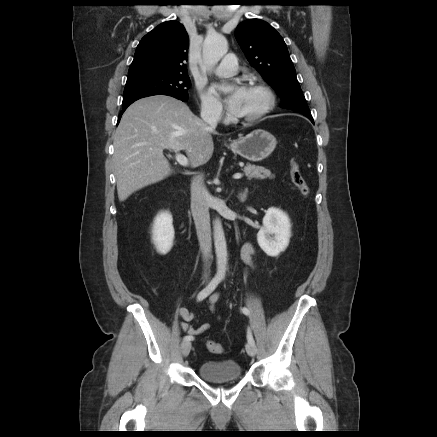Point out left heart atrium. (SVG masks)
I'll use <instances>...</instances> for the list:
<instances>
[{
  "mask_svg": "<svg viewBox=\"0 0 437 437\" xmlns=\"http://www.w3.org/2000/svg\"><path fill=\"white\" fill-rule=\"evenodd\" d=\"M216 89L222 90L225 89V87L217 86ZM228 89H229V94L225 99V103L229 111L235 114L239 109L245 88L239 85H234L229 87Z\"/></svg>",
  "mask_w": 437,
  "mask_h": 437,
  "instance_id": "obj_1",
  "label": "left heart atrium"
}]
</instances>
